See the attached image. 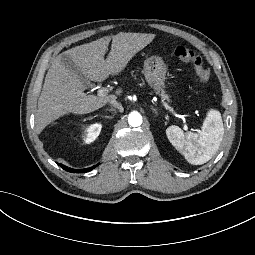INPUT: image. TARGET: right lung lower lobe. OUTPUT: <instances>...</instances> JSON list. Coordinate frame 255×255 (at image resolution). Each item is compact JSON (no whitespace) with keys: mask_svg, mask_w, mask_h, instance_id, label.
<instances>
[{"mask_svg":"<svg viewBox=\"0 0 255 255\" xmlns=\"http://www.w3.org/2000/svg\"><path fill=\"white\" fill-rule=\"evenodd\" d=\"M98 165H99V164L94 165V166L89 167V168H85V169H72V168H68L67 166H64V165L60 164V166H61L64 170H66V171H68V172H71V173H86V172H88V171H91L92 169H94V168L97 167Z\"/></svg>","mask_w":255,"mask_h":255,"instance_id":"98d812e1","label":"right lung lower lobe"}]
</instances>
